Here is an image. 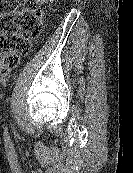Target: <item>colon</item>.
I'll return each instance as SVG.
<instances>
[{
    "instance_id": "1",
    "label": "colon",
    "mask_w": 133,
    "mask_h": 173,
    "mask_svg": "<svg viewBox=\"0 0 133 173\" xmlns=\"http://www.w3.org/2000/svg\"><path fill=\"white\" fill-rule=\"evenodd\" d=\"M43 31L36 0H0V72L8 74Z\"/></svg>"
}]
</instances>
